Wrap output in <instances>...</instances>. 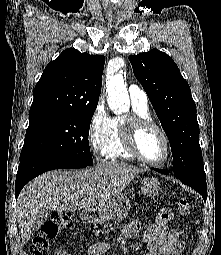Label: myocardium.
I'll return each instance as SVG.
<instances>
[{"instance_id": "1", "label": "myocardium", "mask_w": 221, "mask_h": 255, "mask_svg": "<svg viewBox=\"0 0 221 255\" xmlns=\"http://www.w3.org/2000/svg\"><path fill=\"white\" fill-rule=\"evenodd\" d=\"M147 129H155L161 135L164 141L166 153L165 156L159 161L146 158L140 151L139 138L140 135ZM121 133L127 150L141 162L152 166H161L170 159L171 144L168 135L166 134L165 130L152 119L130 116L122 122Z\"/></svg>"}]
</instances>
